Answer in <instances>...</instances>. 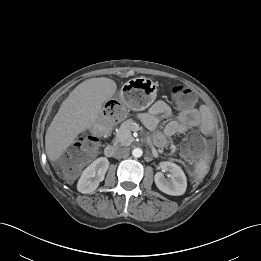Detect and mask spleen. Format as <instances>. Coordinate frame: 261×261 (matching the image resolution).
Returning <instances> with one entry per match:
<instances>
[{
    "instance_id": "spleen-1",
    "label": "spleen",
    "mask_w": 261,
    "mask_h": 261,
    "mask_svg": "<svg viewBox=\"0 0 261 261\" xmlns=\"http://www.w3.org/2000/svg\"><path fill=\"white\" fill-rule=\"evenodd\" d=\"M208 171H209V165L207 163V157H205L204 159L200 160L196 165L195 174L197 180L198 181L203 180V178L208 173Z\"/></svg>"
}]
</instances>
